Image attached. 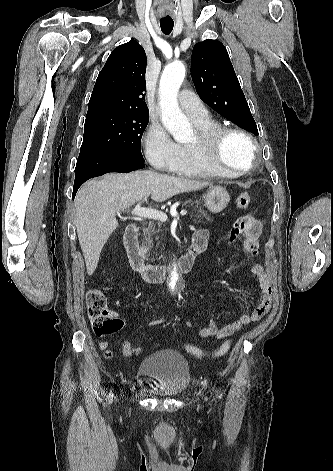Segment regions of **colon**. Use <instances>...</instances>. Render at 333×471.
I'll return each instance as SVG.
<instances>
[{"label": "colon", "mask_w": 333, "mask_h": 471, "mask_svg": "<svg viewBox=\"0 0 333 471\" xmlns=\"http://www.w3.org/2000/svg\"><path fill=\"white\" fill-rule=\"evenodd\" d=\"M250 204V195L247 192L241 193L236 200L239 209H245ZM87 313L97 336H102L118 331L123 326V321L115 316L107 306V300L104 293L100 290L93 289L86 296ZM231 346L229 340L225 341L217 350L206 351L193 344L186 343L184 348L190 354L200 358H219L225 355ZM122 352L126 357H133L136 349L133 348L131 342L125 341L122 344Z\"/></svg>", "instance_id": "obj_1"}]
</instances>
